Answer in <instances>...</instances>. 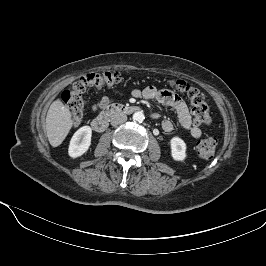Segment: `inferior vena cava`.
I'll return each instance as SVG.
<instances>
[{"label": "inferior vena cava", "mask_w": 266, "mask_h": 266, "mask_svg": "<svg viewBox=\"0 0 266 266\" xmlns=\"http://www.w3.org/2000/svg\"><path fill=\"white\" fill-rule=\"evenodd\" d=\"M111 124L113 126L122 124L127 121V116L124 113H115L111 116Z\"/></svg>", "instance_id": "1"}]
</instances>
